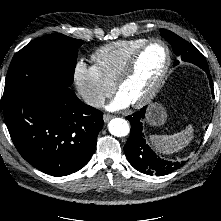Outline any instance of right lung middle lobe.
<instances>
[{
  "label": "right lung middle lobe",
  "instance_id": "dd1d6c3e",
  "mask_svg": "<svg viewBox=\"0 0 221 221\" xmlns=\"http://www.w3.org/2000/svg\"><path fill=\"white\" fill-rule=\"evenodd\" d=\"M83 44L60 33L38 38L17 52L9 66L4 93L35 92L47 82L71 86L78 48Z\"/></svg>",
  "mask_w": 221,
  "mask_h": 221
}]
</instances>
